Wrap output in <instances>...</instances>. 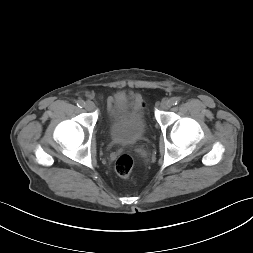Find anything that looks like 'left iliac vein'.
<instances>
[{
    "mask_svg": "<svg viewBox=\"0 0 253 253\" xmlns=\"http://www.w3.org/2000/svg\"><path fill=\"white\" fill-rule=\"evenodd\" d=\"M170 107H171L170 101H168V100H166V99H164V100L161 101V103H160V108H161L162 110H167V109H169Z\"/></svg>",
    "mask_w": 253,
    "mask_h": 253,
    "instance_id": "4c4485c4",
    "label": "left iliac vein"
}]
</instances>
